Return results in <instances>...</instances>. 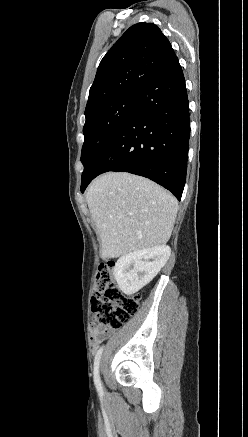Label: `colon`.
Returning <instances> with one entry per match:
<instances>
[{
	"mask_svg": "<svg viewBox=\"0 0 248 437\" xmlns=\"http://www.w3.org/2000/svg\"><path fill=\"white\" fill-rule=\"evenodd\" d=\"M113 264L99 267L91 295L92 322L96 327L117 329L138 310L140 296H128L117 287Z\"/></svg>",
	"mask_w": 248,
	"mask_h": 437,
	"instance_id": "5ec220e1",
	"label": "colon"
}]
</instances>
